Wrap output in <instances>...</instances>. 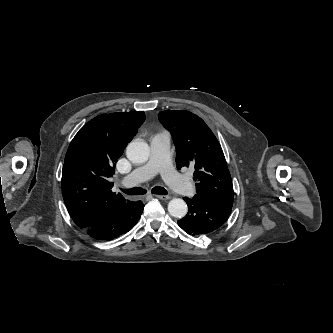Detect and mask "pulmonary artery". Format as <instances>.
<instances>
[{
    "label": "pulmonary artery",
    "mask_w": 333,
    "mask_h": 333,
    "mask_svg": "<svg viewBox=\"0 0 333 333\" xmlns=\"http://www.w3.org/2000/svg\"><path fill=\"white\" fill-rule=\"evenodd\" d=\"M170 144L171 137L167 132H160L152 136L149 160L126 176L123 185L132 187L160 173L164 181L173 189L182 194H190L193 191L192 183L178 174L171 165Z\"/></svg>",
    "instance_id": "1"
}]
</instances>
